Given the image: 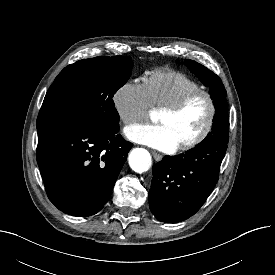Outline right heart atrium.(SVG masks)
<instances>
[{"instance_id":"1","label":"right heart atrium","mask_w":275,"mask_h":275,"mask_svg":"<svg viewBox=\"0 0 275 275\" xmlns=\"http://www.w3.org/2000/svg\"><path fill=\"white\" fill-rule=\"evenodd\" d=\"M115 110L125 125H131L145 119L152 105L144 83L128 81L114 93Z\"/></svg>"}]
</instances>
